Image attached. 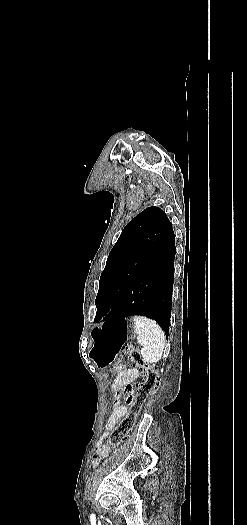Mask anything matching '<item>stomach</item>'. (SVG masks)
<instances>
[{"label": "stomach", "mask_w": 247, "mask_h": 525, "mask_svg": "<svg viewBox=\"0 0 247 525\" xmlns=\"http://www.w3.org/2000/svg\"><path fill=\"white\" fill-rule=\"evenodd\" d=\"M135 333V323L131 318L107 321L95 328L92 331V349L89 356L96 367L106 369Z\"/></svg>", "instance_id": "stomach-1"}]
</instances>
